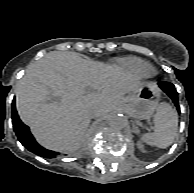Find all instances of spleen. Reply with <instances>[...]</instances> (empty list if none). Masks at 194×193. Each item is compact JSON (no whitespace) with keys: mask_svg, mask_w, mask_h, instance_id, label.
<instances>
[{"mask_svg":"<svg viewBox=\"0 0 194 193\" xmlns=\"http://www.w3.org/2000/svg\"><path fill=\"white\" fill-rule=\"evenodd\" d=\"M153 124L154 131L141 135V140L150 146L167 148L173 143L177 132L178 118L176 113L168 104L161 103L157 107Z\"/></svg>","mask_w":194,"mask_h":193,"instance_id":"1","label":"spleen"}]
</instances>
